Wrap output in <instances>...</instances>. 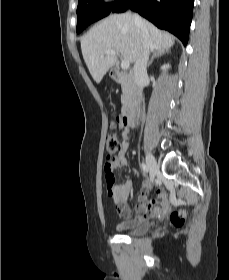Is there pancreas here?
I'll return each instance as SVG.
<instances>
[{"label":"pancreas","instance_id":"obj_1","mask_svg":"<svg viewBox=\"0 0 229 280\" xmlns=\"http://www.w3.org/2000/svg\"><path fill=\"white\" fill-rule=\"evenodd\" d=\"M121 87H122V96H121V101L122 103L127 102L131 96H132V86L128 81H123L121 83Z\"/></svg>","mask_w":229,"mask_h":280}]
</instances>
